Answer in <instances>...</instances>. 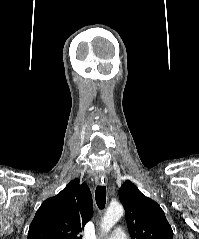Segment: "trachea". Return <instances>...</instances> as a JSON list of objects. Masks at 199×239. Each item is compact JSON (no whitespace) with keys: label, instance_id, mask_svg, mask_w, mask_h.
Here are the masks:
<instances>
[{"label":"trachea","instance_id":"obj_1","mask_svg":"<svg viewBox=\"0 0 199 239\" xmlns=\"http://www.w3.org/2000/svg\"><path fill=\"white\" fill-rule=\"evenodd\" d=\"M95 200L99 209H103L106 204V187L97 186L95 191Z\"/></svg>","mask_w":199,"mask_h":239}]
</instances>
